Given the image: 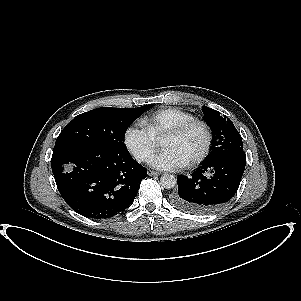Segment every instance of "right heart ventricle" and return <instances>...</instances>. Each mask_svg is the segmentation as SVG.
<instances>
[{"instance_id":"1","label":"right heart ventricle","mask_w":301,"mask_h":301,"mask_svg":"<svg viewBox=\"0 0 301 301\" xmlns=\"http://www.w3.org/2000/svg\"><path fill=\"white\" fill-rule=\"evenodd\" d=\"M193 119L194 116L188 112L177 108H168L155 113L146 119L144 124L146 130L155 139H161L168 130Z\"/></svg>"}]
</instances>
